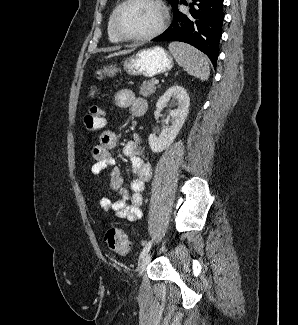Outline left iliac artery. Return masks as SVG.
<instances>
[{
	"label": "left iliac artery",
	"instance_id": "left-iliac-artery-1",
	"mask_svg": "<svg viewBox=\"0 0 298 325\" xmlns=\"http://www.w3.org/2000/svg\"><path fill=\"white\" fill-rule=\"evenodd\" d=\"M151 245H152L151 241L146 244V246L143 248V250L140 253L139 260L142 259L148 253V251L151 248Z\"/></svg>",
	"mask_w": 298,
	"mask_h": 325
}]
</instances>
